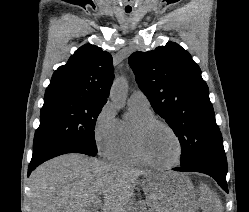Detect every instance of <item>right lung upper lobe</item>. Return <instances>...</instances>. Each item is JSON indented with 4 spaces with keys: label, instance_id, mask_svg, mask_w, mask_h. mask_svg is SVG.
Returning a JSON list of instances; mask_svg holds the SVG:
<instances>
[{
    "label": "right lung upper lobe",
    "instance_id": "cb5924a9",
    "mask_svg": "<svg viewBox=\"0 0 249 212\" xmlns=\"http://www.w3.org/2000/svg\"><path fill=\"white\" fill-rule=\"evenodd\" d=\"M113 78L111 54L85 44L54 72L44 98L76 96L105 104Z\"/></svg>",
    "mask_w": 249,
    "mask_h": 212
}]
</instances>
